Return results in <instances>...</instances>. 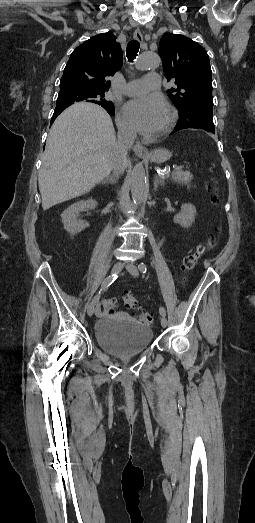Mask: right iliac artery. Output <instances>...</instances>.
<instances>
[{
	"instance_id": "1",
	"label": "right iliac artery",
	"mask_w": 255,
	"mask_h": 523,
	"mask_svg": "<svg viewBox=\"0 0 255 523\" xmlns=\"http://www.w3.org/2000/svg\"><path fill=\"white\" fill-rule=\"evenodd\" d=\"M117 277H118V275H117V273H115L104 279L99 293L92 300L93 303L96 304L99 301L101 291L106 290L117 279Z\"/></svg>"
}]
</instances>
